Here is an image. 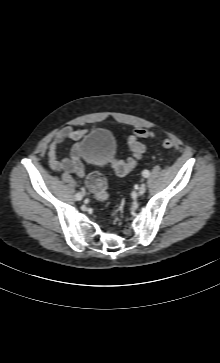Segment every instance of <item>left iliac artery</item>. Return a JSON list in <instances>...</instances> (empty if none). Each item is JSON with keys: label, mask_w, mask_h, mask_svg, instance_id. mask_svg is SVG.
Wrapping results in <instances>:
<instances>
[{"label": "left iliac artery", "mask_w": 220, "mask_h": 363, "mask_svg": "<svg viewBox=\"0 0 220 363\" xmlns=\"http://www.w3.org/2000/svg\"><path fill=\"white\" fill-rule=\"evenodd\" d=\"M142 175H143V177L147 178V177H149L150 173H149V171H148V170H144V171L142 172Z\"/></svg>", "instance_id": "left-iliac-artery-1"}]
</instances>
